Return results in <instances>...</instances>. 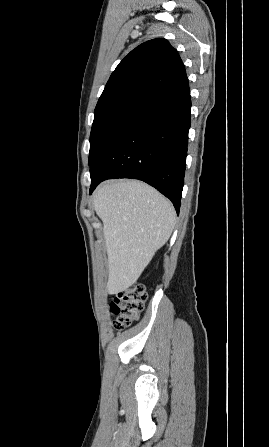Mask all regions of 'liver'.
<instances>
[{
    "label": "liver",
    "instance_id": "6515ba94",
    "mask_svg": "<svg viewBox=\"0 0 269 447\" xmlns=\"http://www.w3.org/2000/svg\"><path fill=\"white\" fill-rule=\"evenodd\" d=\"M108 255V293L137 281L155 251L168 241L176 212L157 190L137 180L106 182L93 196Z\"/></svg>",
    "mask_w": 269,
    "mask_h": 447
}]
</instances>
